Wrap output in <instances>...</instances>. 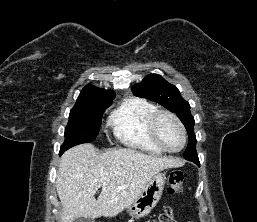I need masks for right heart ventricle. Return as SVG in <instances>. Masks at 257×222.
Segmentation results:
<instances>
[{"instance_id": "right-heart-ventricle-1", "label": "right heart ventricle", "mask_w": 257, "mask_h": 222, "mask_svg": "<svg viewBox=\"0 0 257 222\" xmlns=\"http://www.w3.org/2000/svg\"><path fill=\"white\" fill-rule=\"evenodd\" d=\"M158 111L150 101L131 97L124 100L109 116L108 123L116 138L125 146L140 151L161 154L164 151L149 133L151 117Z\"/></svg>"}]
</instances>
